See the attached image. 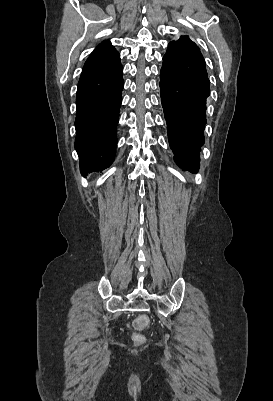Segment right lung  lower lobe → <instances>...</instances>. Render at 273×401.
I'll list each match as a JSON object with an SVG mask.
<instances>
[{
    "instance_id": "obj_1",
    "label": "right lung lower lobe",
    "mask_w": 273,
    "mask_h": 401,
    "mask_svg": "<svg viewBox=\"0 0 273 401\" xmlns=\"http://www.w3.org/2000/svg\"><path fill=\"white\" fill-rule=\"evenodd\" d=\"M122 76L119 58L108 66L81 75L79 79L75 149L84 176L110 167L114 160L124 85Z\"/></svg>"
}]
</instances>
